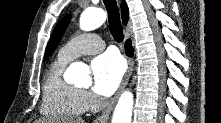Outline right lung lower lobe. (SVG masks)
<instances>
[{"instance_id":"1","label":"right lung lower lobe","mask_w":221,"mask_h":123,"mask_svg":"<svg viewBox=\"0 0 221 123\" xmlns=\"http://www.w3.org/2000/svg\"><path fill=\"white\" fill-rule=\"evenodd\" d=\"M126 54L129 56L133 55V48L130 40H127L125 43Z\"/></svg>"}]
</instances>
